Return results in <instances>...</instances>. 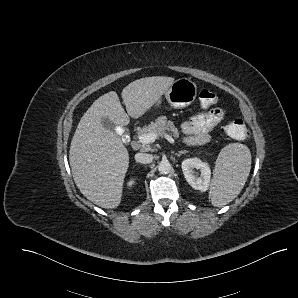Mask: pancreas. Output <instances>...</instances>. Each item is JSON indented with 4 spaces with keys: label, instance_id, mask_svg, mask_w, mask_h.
<instances>
[{
    "label": "pancreas",
    "instance_id": "pancreas-1",
    "mask_svg": "<svg viewBox=\"0 0 298 298\" xmlns=\"http://www.w3.org/2000/svg\"><path fill=\"white\" fill-rule=\"evenodd\" d=\"M149 132L157 133L159 136H163L166 132H169L175 139H178L180 136V132L174 122L168 120L164 115L157 117L154 122H151L148 126L138 131V134L141 135Z\"/></svg>",
    "mask_w": 298,
    "mask_h": 298
}]
</instances>
